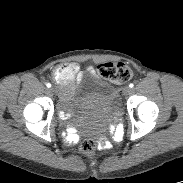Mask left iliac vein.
<instances>
[{"mask_svg": "<svg viewBox=\"0 0 183 183\" xmlns=\"http://www.w3.org/2000/svg\"><path fill=\"white\" fill-rule=\"evenodd\" d=\"M130 92H131L130 87L125 86V87L123 88V94H124V95H128Z\"/></svg>", "mask_w": 183, "mask_h": 183, "instance_id": "left-iliac-vein-1", "label": "left iliac vein"}]
</instances>
